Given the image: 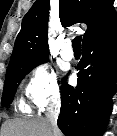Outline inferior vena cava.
Segmentation results:
<instances>
[{
	"instance_id": "inferior-vena-cava-1",
	"label": "inferior vena cava",
	"mask_w": 117,
	"mask_h": 136,
	"mask_svg": "<svg viewBox=\"0 0 117 136\" xmlns=\"http://www.w3.org/2000/svg\"><path fill=\"white\" fill-rule=\"evenodd\" d=\"M60 112V101L54 100L48 107L46 117L48 122L51 125L52 136H57V132L59 131L57 126V119Z\"/></svg>"
}]
</instances>
